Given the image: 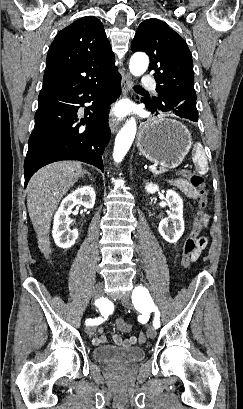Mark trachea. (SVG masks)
Masks as SVG:
<instances>
[{
  "mask_svg": "<svg viewBox=\"0 0 243 409\" xmlns=\"http://www.w3.org/2000/svg\"><path fill=\"white\" fill-rule=\"evenodd\" d=\"M136 88H141L140 86H135Z\"/></svg>",
  "mask_w": 243,
  "mask_h": 409,
  "instance_id": "obj_1",
  "label": "trachea"
}]
</instances>
